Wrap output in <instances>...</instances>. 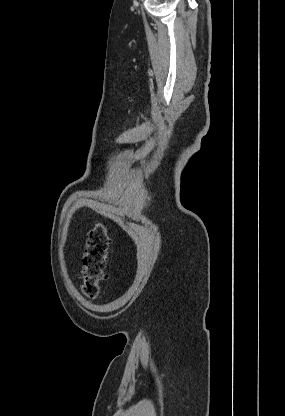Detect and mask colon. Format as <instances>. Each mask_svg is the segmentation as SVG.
Segmentation results:
<instances>
[{
    "label": "colon",
    "mask_w": 285,
    "mask_h": 416,
    "mask_svg": "<svg viewBox=\"0 0 285 416\" xmlns=\"http://www.w3.org/2000/svg\"><path fill=\"white\" fill-rule=\"evenodd\" d=\"M109 248L107 228L103 224H96L88 233L83 256L82 292L90 299L100 295V285L106 276Z\"/></svg>",
    "instance_id": "obj_1"
}]
</instances>
